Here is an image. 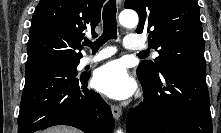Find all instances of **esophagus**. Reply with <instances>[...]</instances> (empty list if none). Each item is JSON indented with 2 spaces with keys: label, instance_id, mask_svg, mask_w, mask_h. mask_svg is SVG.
<instances>
[{
  "label": "esophagus",
  "instance_id": "obj_1",
  "mask_svg": "<svg viewBox=\"0 0 221 133\" xmlns=\"http://www.w3.org/2000/svg\"><path fill=\"white\" fill-rule=\"evenodd\" d=\"M122 3L121 0H117V4L120 6ZM111 110H112V114L114 119L119 120L121 115H122V110L120 107H118L117 105H112L111 106Z\"/></svg>",
  "mask_w": 221,
  "mask_h": 133
}]
</instances>
